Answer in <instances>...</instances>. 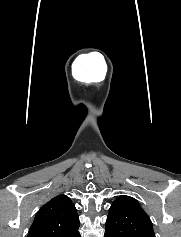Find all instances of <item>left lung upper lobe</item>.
Wrapping results in <instances>:
<instances>
[{"label": "left lung upper lobe", "instance_id": "1", "mask_svg": "<svg viewBox=\"0 0 181 237\" xmlns=\"http://www.w3.org/2000/svg\"><path fill=\"white\" fill-rule=\"evenodd\" d=\"M108 237H155L152 222L136 199L119 196L111 205L106 220Z\"/></svg>", "mask_w": 181, "mask_h": 237}]
</instances>
